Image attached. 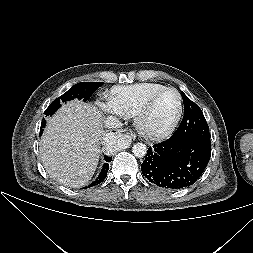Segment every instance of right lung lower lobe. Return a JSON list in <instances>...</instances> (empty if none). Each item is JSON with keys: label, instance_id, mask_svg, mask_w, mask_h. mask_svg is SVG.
Returning a JSON list of instances; mask_svg holds the SVG:
<instances>
[{"label": "right lung lower lobe", "instance_id": "obj_1", "mask_svg": "<svg viewBox=\"0 0 253 253\" xmlns=\"http://www.w3.org/2000/svg\"><path fill=\"white\" fill-rule=\"evenodd\" d=\"M41 134V133H40ZM112 160V157H109V156H105V161L106 163L104 164L99 176L97 177V179L90 185V186H95V185H98L100 184L101 182L104 181V179L106 178L107 176V172H108V169H109V164L108 162H111ZM88 186V187H90ZM87 188V187H86Z\"/></svg>", "mask_w": 253, "mask_h": 253}]
</instances>
